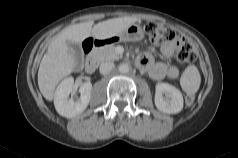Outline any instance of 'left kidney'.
I'll use <instances>...</instances> for the list:
<instances>
[{
    "instance_id": "obj_1",
    "label": "left kidney",
    "mask_w": 238,
    "mask_h": 158,
    "mask_svg": "<svg viewBox=\"0 0 238 158\" xmlns=\"http://www.w3.org/2000/svg\"><path fill=\"white\" fill-rule=\"evenodd\" d=\"M154 101L157 109L167 114H176L183 109L182 93L168 83L156 84Z\"/></svg>"
}]
</instances>
